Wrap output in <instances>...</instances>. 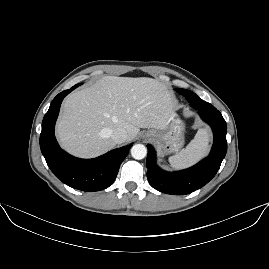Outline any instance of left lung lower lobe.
I'll return each mask as SVG.
<instances>
[{
  "mask_svg": "<svg viewBox=\"0 0 269 269\" xmlns=\"http://www.w3.org/2000/svg\"><path fill=\"white\" fill-rule=\"evenodd\" d=\"M193 107V106H192ZM201 118L208 123L214 134V142L207 158L195 166L176 172H166L155 162V151L147 145V178L150 185L166 194L186 195L207 184L217 173L227 152L226 122L221 113L211 104L193 107Z\"/></svg>",
  "mask_w": 269,
  "mask_h": 269,
  "instance_id": "left-lung-lower-lobe-1",
  "label": "left lung lower lobe"
}]
</instances>
